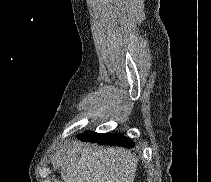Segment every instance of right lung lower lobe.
Returning a JSON list of instances; mask_svg holds the SVG:
<instances>
[{"label": "right lung lower lobe", "mask_w": 211, "mask_h": 182, "mask_svg": "<svg viewBox=\"0 0 211 182\" xmlns=\"http://www.w3.org/2000/svg\"><path fill=\"white\" fill-rule=\"evenodd\" d=\"M77 137L82 141H90L100 145H118L126 148H131L134 146L132 141L118 133L100 134L86 131L83 134H79Z\"/></svg>", "instance_id": "right-lung-lower-lobe-1"}]
</instances>
